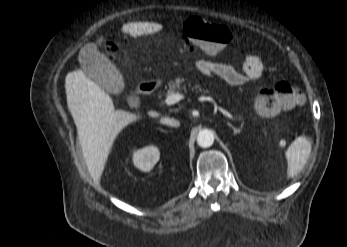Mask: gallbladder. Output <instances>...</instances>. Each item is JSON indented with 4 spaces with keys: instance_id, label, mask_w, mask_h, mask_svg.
I'll list each match as a JSON object with an SVG mask.
<instances>
[{
    "instance_id": "gallbladder-1",
    "label": "gallbladder",
    "mask_w": 347,
    "mask_h": 247,
    "mask_svg": "<svg viewBox=\"0 0 347 247\" xmlns=\"http://www.w3.org/2000/svg\"><path fill=\"white\" fill-rule=\"evenodd\" d=\"M78 60L85 74L106 92L114 95L123 92L125 83L122 74L95 46L88 45L83 49ZM128 101L132 106L135 98L129 97Z\"/></svg>"
}]
</instances>
